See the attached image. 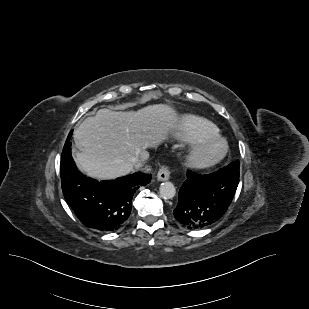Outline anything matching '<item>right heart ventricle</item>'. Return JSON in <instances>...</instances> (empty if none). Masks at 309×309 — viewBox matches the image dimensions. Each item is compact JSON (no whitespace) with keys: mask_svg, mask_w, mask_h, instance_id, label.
Here are the masks:
<instances>
[{"mask_svg":"<svg viewBox=\"0 0 309 309\" xmlns=\"http://www.w3.org/2000/svg\"><path fill=\"white\" fill-rule=\"evenodd\" d=\"M219 132L218 128L210 121L194 116H184L175 131V136L183 141H195L197 139L215 136Z\"/></svg>","mask_w":309,"mask_h":309,"instance_id":"1","label":"right heart ventricle"}]
</instances>
